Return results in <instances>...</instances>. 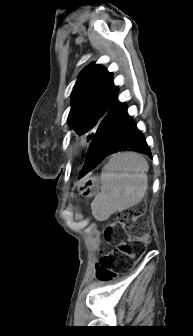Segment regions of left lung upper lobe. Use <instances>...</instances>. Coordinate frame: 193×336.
I'll list each match as a JSON object with an SVG mask.
<instances>
[{
    "mask_svg": "<svg viewBox=\"0 0 193 336\" xmlns=\"http://www.w3.org/2000/svg\"><path fill=\"white\" fill-rule=\"evenodd\" d=\"M117 92L111 73L100 65L86 67L72 92L70 128L78 134L92 130V139L101 120L117 103Z\"/></svg>",
    "mask_w": 193,
    "mask_h": 336,
    "instance_id": "5c2ea615",
    "label": "left lung upper lobe"
}]
</instances>
